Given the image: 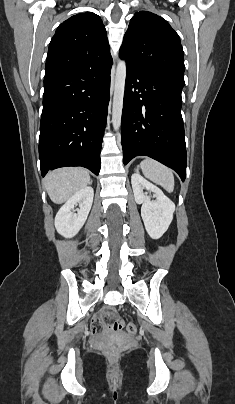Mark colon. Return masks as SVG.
Wrapping results in <instances>:
<instances>
[{
  "mask_svg": "<svg viewBox=\"0 0 235 404\" xmlns=\"http://www.w3.org/2000/svg\"><path fill=\"white\" fill-rule=\"evenodd\" d=\"M105 317L110 318V321L107 322V327L111 331H117L121 328L125 327V330L134 334L137 330L135 323L129 322L127 324L124 323L123 320L116 318V312L113 308H104Z\"/></svg>",
  "mask_w": 235,
  "mask_h": 404,
  "instance_id": "1",
  "label": "colon"
}]
</instances>
